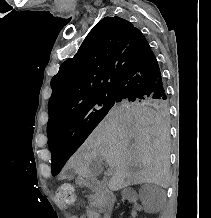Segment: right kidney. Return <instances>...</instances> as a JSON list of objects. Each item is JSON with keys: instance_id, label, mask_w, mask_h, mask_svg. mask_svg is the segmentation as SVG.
<instances>
[{"instance_id": "ca27d5eb", "label": "right kidney", "mask_w": 211, "mask_h": 218, "mask_svg": "<svg viewBox=\"0 0 211 218\" xmlns=\"http://www.w3.org/2000/svg\"><path fill=\"white\" fill-rule=\"evenodd\" d=\"M123 200H129V202H135V206H139V209H134V214H141L144 211V207L140 206V198L136 197L135 190L133 188H124L121 192Z\"/></svg>"}]
</instances>
